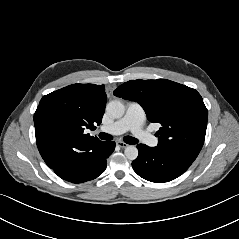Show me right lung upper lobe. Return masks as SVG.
Here are the masks:
<instances>
[{"label":"right lung upper lobe","instance_id":"1","mask_svg":"<svg viewBox=\"0 0 239 239\" xmlns=\"http://www.w3.org/2000/svg\"><path fill=\"white\" fill-rule=\"evenodd\" d=\"M106 100L104 85L95 84H73L42 97L34 114L35 135L50 168L63 151L101 142L84 129L101 123Z\"/></svg>","mask_w":239,"mask_h":239}]
</instances>
